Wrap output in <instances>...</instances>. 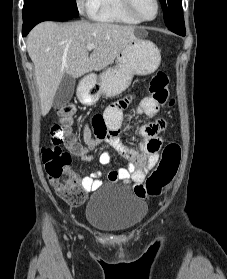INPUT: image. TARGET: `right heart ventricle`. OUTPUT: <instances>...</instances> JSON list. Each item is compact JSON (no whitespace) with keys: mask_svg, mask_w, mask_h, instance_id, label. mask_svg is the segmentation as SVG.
Returning a JSON list of instances; mask_svg holds the SVG:
<instances>
[{"mask_svg":"<svg viewBox=\"0 0 227 279\" xmlns=\"http://www.w3.org/2000/svg\"><path fill=\"white\" fill-rule=\"evenodd\" d=\"M88 9L91 19L99 22L138 24L127 10L123 0H91Z\"/></svg>","mask_w":227,"mask_h":279,"instance_id":"e07e8e85","label":"right heart ventricle"}]
</instances>
